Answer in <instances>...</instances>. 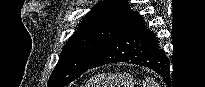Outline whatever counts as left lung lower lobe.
Here are the masks:
<instances>
[{
  "mask_svg": "<svg viewBox=\"0 0 205 87\" xmlns=\"http://www.w3.org/2000/svg\"><path fill=\"white\" fill-rule=\"evenodd\" d=\"M117 62L148 67L160 74L164 80L169 75V62L159 47L156 35L145 26L141 16L131 10L89 69Z\"/></svg>",
  "mask_w": 205,
  "mask_h": 87,
  "instance_id": "1",
  "label": "left lung lower lobe"
}]
</instances>
